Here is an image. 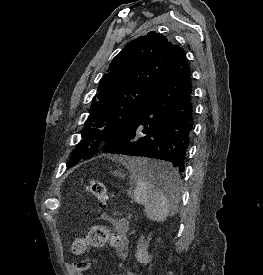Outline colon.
Returning <instances> with one entry per match:
<instances>
[{
  "mask_svg": "<svg viewBox=\"0 0 263 275\" xmlns=\"http://www.w3.org/2000/svg\"><path fill=\"white\" fill-rule=\"evenodd\" d=\"M85 190L88 194L97 199L100 206L104 207L107 205L108 195L104 183L99 180L91 179L87 183ZM115 242L116 237L107 227L96 226L89 230L84 237L76 238L71 245V250L74 254L81 255L90 248L103 247L107 244H115ZM89 267L90 263L87 261H78L74 263V268L78 275H84ZM126 274L132 275L135 273L127 272Z\"/></svg>",
  "mask_w": 263,
  "mask_h": 275,
  "instance_id": "5ec220e1",
  "label": "colon"
}]
</instances>
